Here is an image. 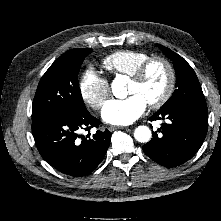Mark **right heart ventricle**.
<instances>
[{
    "instance_id": "1",
    "label": "right heart ventricle",
    "mask_w": 221,
    "mask_h": 221,
    "mask_svg": "<svg viewBox=\"0 0 221 221\" xmlns=\"http://www.w3.org/2000/svg\"><path fill=\"white\" fill-rule=\"evenodd\" d=\"M150 55L137 50H119L111 53L102 61L103 67L115 75L131 76L136 68Z\"/></svg>"
}]
</instances>
